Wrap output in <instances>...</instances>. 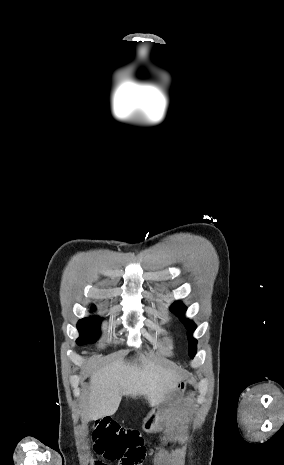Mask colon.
<instances>
[{
  "mask_svg": "<svg viewBox=\"0 0 284 465\" xmlns=\"http://www.w3.org/2000/svg\"><path fill=\"white\" fill-rule=\"evenodd\" d=\"M89 447L99 457L106 460H121V465H140L147 455L143 436L137 431L121 427L117 422H108L96 431L89 442ZM160 452L158 447L153 449ZM92 465H102L93 460Z\"/></svg>",
  "mask_w": 284,
  "mask_h": 465,
  "instance_id": "colon-1",
  "label": "colon"
}]
</instances>
